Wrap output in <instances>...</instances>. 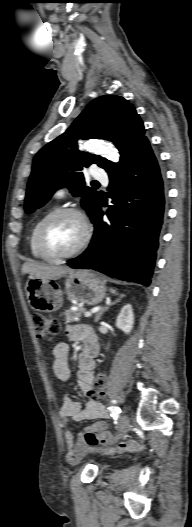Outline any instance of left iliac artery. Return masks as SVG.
Segmentation results:
<instances>
[{
	"instance_id": "1",
	"label": "left iliac artery",
	"mask_w": 192,
	"mask_h": 527,
	"mask_svg": "<svg viewBox=\"0 0 192 527\" xmlns=\"http://www.w3.org/2000/svg\"><path fill=\"white\" fill-rule=\"evenodd\" d=\"M115 404H116V400H112V405L109 406V410H110L112 417H117L121 413L120 408L116 406Z\"/></svg>"
}]
</instances>
